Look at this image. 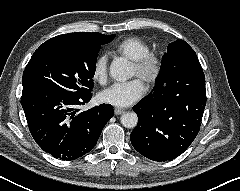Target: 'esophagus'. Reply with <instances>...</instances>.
Masks as SVG:
<instances>
[{
    "label": "esophagus",
    "instance_id": "34e87169",
    "mask_svg": "<svg viewBox=\"0 0 240 191\" xmlns=\"http://www.w3.org/2000/svg\"><path fill=\"white\" fill-rule=\"evenodd\" d=\"M124 112H125V110L124 109H120V108H115V110H114L115 115H121Z\"/></svg>",
    "mask_w": 240,
    "mask_h": 191
}]
</instances>
